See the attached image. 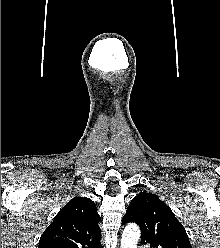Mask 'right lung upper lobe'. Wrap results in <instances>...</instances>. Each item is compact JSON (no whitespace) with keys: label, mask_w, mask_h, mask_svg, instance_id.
Masks as SVG:
<instances>
[{"label":"right lung upper lobe","mask_w":220,"mask_h":248,"mask_svg":"<svg viewBox=\"0 0 220 248\" xmlns=\"http://www.w3.org/2000/svg\"><path fill=\"white\" fill-rule=\"evenodd\" d=\"M100 216L86 197L70 200L42 234L38 248H102Z\"/></svg>","instance_id":"1"}]
</instances>
